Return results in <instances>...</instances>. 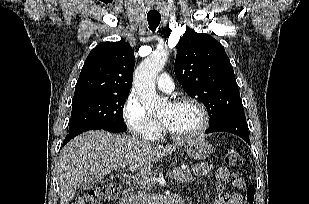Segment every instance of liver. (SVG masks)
Listing matches in <instances>:
<instances>
[{"instance_id": "liver-1", "label": "liver", "mask_w": 309, "mask_h": 204, "mask_svg": "<svg viewBox=\"0 0 309 204\" xmlns=\"http://www.w3.org/2000/svg\"><path fill=\"white\" fill-rule=\"evenodd\" d=\"M185 142L162 146L100 130L83 133L71 140L59 155L60 204L69 203L76 193L78 182L86 176L108 175L122 165L128 166L132 172H148L155 162L175 152Z\"/></svg>"}]
</instances>
